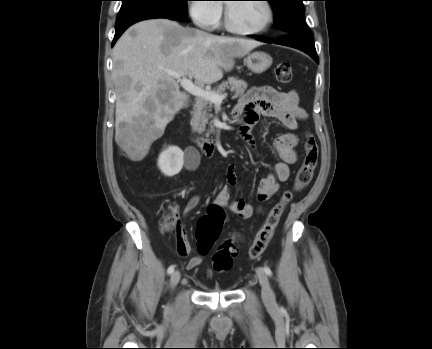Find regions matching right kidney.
<instances>
[{
  "instance_id": "ca27d5eb",
  "label": "right kidney",
  "mask_w": 432,
  "mask_h": 349,
  "mask_svg": "<svg viewBox=\"0 0 432 349\" xmlns=\"http://www.w3.org/2000/svg\"><path fill=\"white\" fill-rule=\"evenodd\" d=\"M157 164L165 176L172 177L181 171L184 153L179 147L170 146L160 153Z\"/></svg>"
}]
</instances>
